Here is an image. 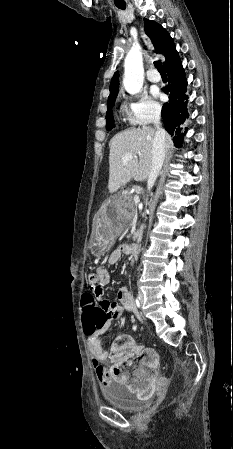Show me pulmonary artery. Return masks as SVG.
<instances>
[{"label": "pulmonary artery", "mask_w": 233, "mask_h": 449, "mask_svg": "<svg viewBox=\"0 0 233 449\" xmlns=\"http://www.w3.org/2000/svg\"><path fill=\"white\" fill-rule=\"evenodd\" d=\"M147 79L151 82H159L161 80V76L154 69H149L147 71Z\"/></svg>", "instance_id": "pulmonary-artery-1"}]
</instances>
